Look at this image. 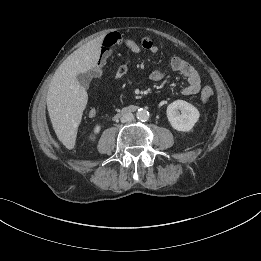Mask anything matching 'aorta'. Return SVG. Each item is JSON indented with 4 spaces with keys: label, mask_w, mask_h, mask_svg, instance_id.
<instances>
[{
    "label": "aorta",
    "mask_w": 261,
    "mask_h": 261,
    "mask_svg": "<svg viewBox=\"0 0 261 261\" xmlns=\"http://www.w3.org/2000/svg\"><path fill=\"white\" fill-rule=\"evenodd\" d=\"M136 117L141 121H146L149 118V112L146 109L140 108L136 112Z\"/></svg>",
    "instance_id": "1"
}]
</instances>
